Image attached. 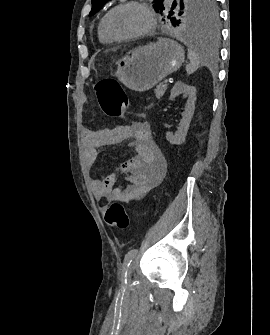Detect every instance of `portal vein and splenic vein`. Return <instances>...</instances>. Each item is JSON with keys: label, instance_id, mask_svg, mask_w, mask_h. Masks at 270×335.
<instances>
[{"label": "portal vein and splenic vein", "instance_id": "portal-vein-and-splenic-vein-1", "mask_svg": "<svg viewBox=\"0 0 270 335\" xmlns=\"http://www.w3.org/2000/svg\"><path fill=\"white\" fill-rule=\"evenodd\" d=\"M168 81H169V80L166 78V79L163 81V84L166 85V84L168 83Z\"/></svg>", "mask_w": 270, "mask_h": 335}]
</instances>
